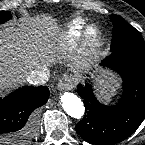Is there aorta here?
I'll use <instances>...</instances> for the list:
<instances>
[{
    "label": "aorta",
    "mask_w": 145,
    "mask_h": 145,
    "mask_svg": "<svg viewBox=\"0 0 145 145\" xmlns=\"http://www.w3.org/2000/svg\"><path fill=\"white\" fill-rule=\"evenodd\" d=\"M64 111L75 119H81L85 113V107L81 99L73 93L66 92L61 96Z\"/></svg>",
    "instance_id": "aorta-1"
}]
</instances>
